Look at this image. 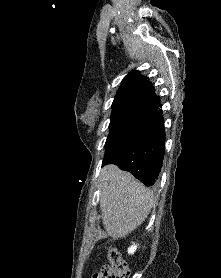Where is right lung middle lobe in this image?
I'll use <instances>...</instances> for the list:
<instances>
[{"mask_svg": "<svg viewBox=\"0 0 221 278\" xmlns=\"http://www.w3.org/2000/svg\"><path fill=\"white\" fill-rule=\"evenodd\" d=\"M154 111L146 104H132L113 110L105 156L128 139Z\"/></svg>", "mask_w": 221, "mask_h": 278, "instance_id": "right-lung-middle-lobe-1", "label": "right lung middle lobe"}]
</instances>
